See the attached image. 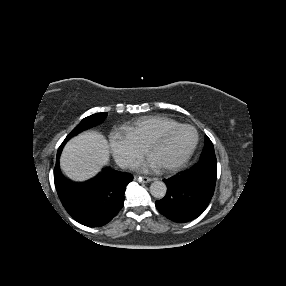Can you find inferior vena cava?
Wrapping results in <instances>:
<instances>
[{"mask_svg": "<svg viewBox=\"0 0 286 286\" xmlns=\"http://www.w3.org/2000/svg\"><path fill=\"white\" fill-rule=\"evenodd\" d=\"M116 163H117V165H118L120 168H122V169L128 168V167L131 166V163H130L129 161L125 160V159H118V160L116 161Z\"/></svg>", "mask_w": 286, "mask_h": 286, "instance_id": "inferior-vena-cava-1", "label": "inferior vena cava"}]
</instances>
